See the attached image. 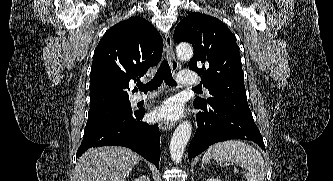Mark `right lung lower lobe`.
<instances>
[{"label":"right lung lower lobe","mask_w":333,"mask_h":181,"mask_svg":"<svg viewBox=\"0 0 333 181\" xmlns=\"http://www.w3.org/2000/svg\"><path fill=\"white\" fill-rule=\"evenodd\" d=\"M145 111L125 112L101 123L87 126L77 157L92 147L119 145L132 149L159 168L158 125L142 122Z\"/></svg>","instance_id":"98d812e1"}]
</instances>
